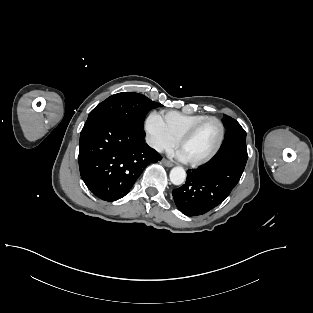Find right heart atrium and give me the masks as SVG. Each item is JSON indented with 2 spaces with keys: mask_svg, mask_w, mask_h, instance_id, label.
Returning a JSON list of instances; mask_svg holds the SVG:
<instances>
[{
  "mask_svg": "<svg viewBox=\"0 0 313 313\" xmlns=\"http://www.w3.org/2000/svg\"><path fill=\"white\" fill-rule=\"evenodd\" d=\"M145 130L148 144L157 152L168 151L176 144V141L165 130L157 113L149 115L145 123Z\"/></svg>",
  "mask_w": 313,
  "mask_h": 313,
  "instance_id": "1",
  "label": "right heart atrium"
}]
</instances>
